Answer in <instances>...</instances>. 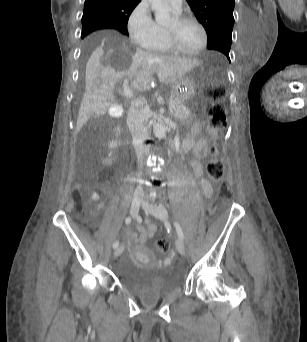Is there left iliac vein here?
Wrapping results in <instances>:
<instances>
[{
	"label": "left iliac vein",
	"mask_w": 307,
	"mask_h": 342,
	"mask_svg": "<svg viewBox=\"0 0 307 342\" xmlns=\"http://www.w3.org/2000/svg\"><path fill=\"white\" fill-rule=\"evenodd\" d=\"M142 207L145 211L161 220L168 219V212L163 206L151 205L148 202H142ZM176 248L181 255L185 254V244L180 238L176 240Z\"/></svg>",
	"instance_id": "4c4485c4"
}]
</instances>
